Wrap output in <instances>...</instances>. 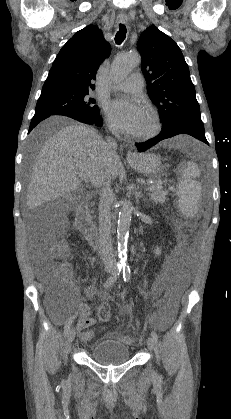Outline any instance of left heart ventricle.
<instances>
[{
  "label": "left heart ventricle",
  "instance_id": "1",
  "mask_svg": "<svg viewBox=\"0 0 231 419\" xmlns=\"http://www.w3.org/2000/svg\"><path fill=\"white\" fill-rule=\"evenodd\" d=\"M150 124H151L150 119H149L148 115L145 113V117L143 119V122L141 124V127H140L138 133L146 131L150 127Z\"/></svg>",
  "mask_w": 231,
  "mask_h": 419
}]
</instances>
